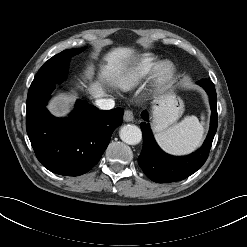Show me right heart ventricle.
I'll list each match as a JSON object with an SVG mask.
<instances>
[{
	"label": "right heart ventricle",
	"mask_w": 247,
	"mask_h": 247,
	"mask_svg": "<svg viewBox=\"0 0 247 247\" xmlns=\"http://www.w3.org/2000/svg\"><path fill=\"white\" fill-rule=\"evenodd\" d=\"M158 59L152 54L138 56L131 66L119 77L118 85L130 88L147 76L157 65Z\"/></svg>",
	"instance_id": "obj_1"
}]
</instances>
